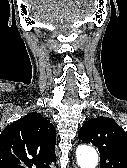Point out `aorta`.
<instances>
[{
    "label": "aorta",
    "mask_w": 127,
    "mask_h": 168,
    "mask_svg": "<svg viewBox=\"0 0 127 168\" xmlns=\"http://www.w3.org/2000/svg\"><path fill=\"white\" fill-rule=\"evenodd\" d=\"M77 163L80 168H96L98 164V154L89 145H81L76 151Z\"/></svg>",
    "instance_id": "obj_1"
}]
</instances>
